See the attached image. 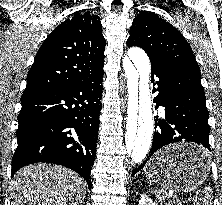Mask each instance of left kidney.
<instances>
[{"label": "left kidney", "instance_id": "left-kidney-1", "mask_svg": "<svg viewBox=\"0 0 222 205\" xmlns=\"http://www.w3.org/2000/svg\"><path fill=\"white\" fill-rule=\"evenodd\" d=\"M139 205H157V204L153 202L150 198H148L146 195H143L141 196Z\"/></svg>", "mask_w": 222, "mask_h": 205}]
</instances>
